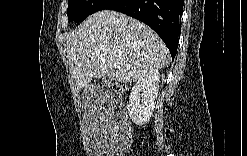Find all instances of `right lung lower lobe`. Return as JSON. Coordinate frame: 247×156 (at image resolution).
Listing matches in <instances>:
<instances>
[{
	"instance_id": "obj_1",
	"label": "right lung lower lobe",
	"mask_w": 247,
	"mask_h": 156,
	"mask_svg": "<svg viewBox=\"0 0 247 156\" xmlns=\"http://www.w3.org/2000/svg\"><path fill=\"white\" fill-rule=\"evenodd\" d=\"M114 10L150 26L175 57L181 33L182 0H108L100 10Z\"/></svg>"
}]
</instances>
